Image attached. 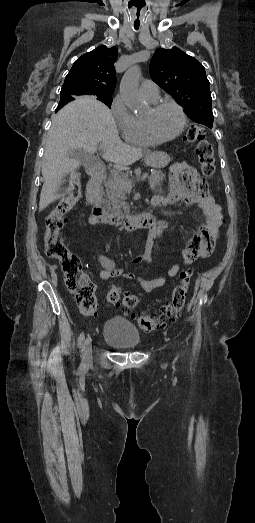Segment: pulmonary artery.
<instances>
[{
	"label": "pulmonary artery",
	"instance_id": "obj_1",
	"mask_svg": "<svg viewBox=\"0 0 255 523\" xmlns=\"http://www.w3.org/2000/svg\"><path fill=\"white\" fill-rule=\"evenodd\" d=\"M141 94L146 98L157 99L159 97L158 86L150 81H144L140 87Z\"/></svg>",
	"mask_w": 255,
	"mask_h": 523
}]
</instances>
